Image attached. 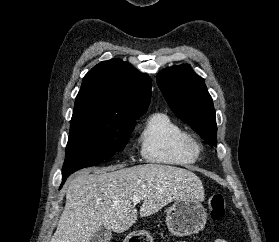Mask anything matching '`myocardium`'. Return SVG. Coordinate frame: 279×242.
I'll use <instances>...</instances> for the list:
<instances>
[{"label":"myocardium","mask_w":279,"mask_h":242,"mask_svg":"<svg viewBox=\"0 0 279 242\" xmlns=\"http://www.w3.org/2000/svg\"><path fill=\"white\" fill-rule=\"evenodd\" d=\"M185 145L191 152H193L196 155H198L201 152L202 146L200 141L191 134L186 133Z\"/></svg>","instance_id":"obj_1"}]
</instances>
